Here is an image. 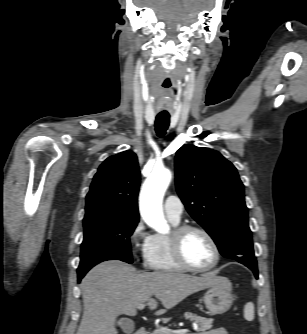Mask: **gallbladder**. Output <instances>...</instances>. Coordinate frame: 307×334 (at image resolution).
Returning <instances> with one entry per match:
<instances>
[{
	"mask_svg": "<svg viewBox=\"0 0 307 334\" xmlns=\"http://www.w3.org/2000/svg\"><path fill=\"white\" fill-rule=\"evenodd\" d=\"M118 325L127 334H130L134 331V323L132 320L124 318L118 321Z\"/></svg>",
	"mask_w": 307,
	"mask_h": 334,
	"instance_id": "1",
	"label": "gallbladder"
}]
</instances>
